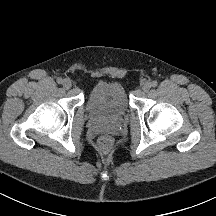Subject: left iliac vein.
Masks as SVG:
<instances>
[{"instance_id":"1","label":"left iliac vein","mask_w":216,"mask_h":216,"mask_svg":"<svg viewBox=\"0 0 216 216\" xmlns=\"http://www.w3.org/2000/svg\"><path fill=\"white\" fill-rule=\"evenodd\" d=\"M150 88H151V84L148 82H146L142 87L144 92H148L150 90Z\"/></svg>"}]
</instances>
